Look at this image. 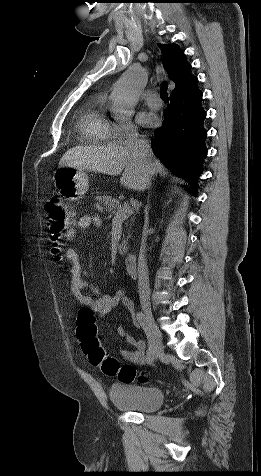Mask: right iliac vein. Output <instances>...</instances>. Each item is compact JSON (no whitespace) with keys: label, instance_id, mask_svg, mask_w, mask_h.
<instances>
[{"label":"right iliac vein","instance_id":"63e3f726","mask_svg":"<svg viewBox=\"0 0 261 476\" xmlns=\"http://www.w3.org/2000/svg\"><path fill=\"white\" fill-rule=\"evenodd\" d=\"M144 312L147 318V325L153 331L152 335L154 337V343H155V346L153 347L154 353L157 358L161 357L164 354V346L162 343L161 332L159 331L157 325L155 324L151 311L146 308L144 309Z\"/></svg>","mask_w":261,"mask_h":476}]
</instances>
